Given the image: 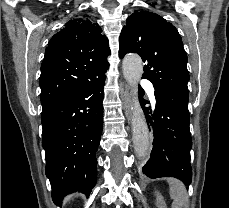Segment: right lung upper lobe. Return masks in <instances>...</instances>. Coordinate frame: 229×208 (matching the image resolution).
I'll use <instances>...</instances> for the list:
<instances>
[{
	"instance_id": "obj_1",
	"label": "right lung upper lobe",
	"mask_w": 229,
	"mask_h": 208,
	"mask_svg": "<svg viewBox=\"0 0 229 208\" xmlns=\"http://www.w3.org/2000/svg\"><path fill=\"white\" fill-rule=\"evenodd\" d=\"M88 18L69 20L49 41L41 65V104L49 106L63 95L86 85L109 68L108 39Z\"/></svg>"
}]
</instances>
